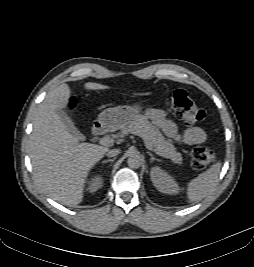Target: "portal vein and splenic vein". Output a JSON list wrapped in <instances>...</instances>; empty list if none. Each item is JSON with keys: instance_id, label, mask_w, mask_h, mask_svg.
Segmentation results:
<instances>
[{"instance_id": "obj_1", "label": "portal vein and splenic vein", "mask_w": 254, "mask_h": 267, "mask_svg": "<svg viewBox=\"0 0 254 267\" xmlns=\"http://www.w3.org/2000/svg\"><path fill=\"white\" fill-rule=\"evenodd\" d=\"M113 143H114V140L109 138V137H103L100 139V144L104 145V146H111V145H113ZM145 147L148 150H152V151L154 150L153 147L147 142H145Z\"/></svg>"}]
</instances>
